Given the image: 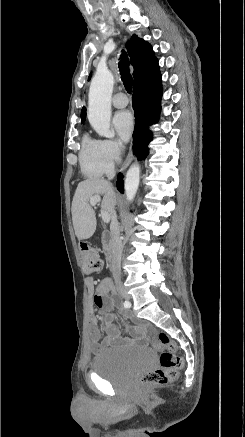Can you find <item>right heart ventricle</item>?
Here are the masks:
<instances>
[{"label": "right heart ventricle", "mask_w": 245, "mask_h": 437, "mask_svg": "<svg viewBox=\"0 0 245 437\" xmlns=\"http://www.w3.org/2000/svg\"><path fill=\"white\" fill-rule=\"evenodd\" d=\"M80 166L84 175L90 178H100L106 174L105 167L100 156L98 140L84 134L81 141Z\"/></svg>", "instance_id": "obj_1"}]
</instances>
